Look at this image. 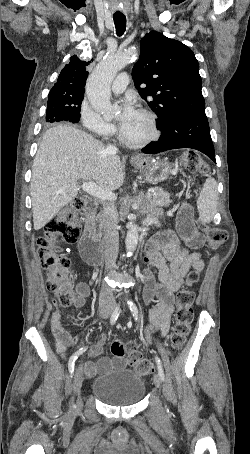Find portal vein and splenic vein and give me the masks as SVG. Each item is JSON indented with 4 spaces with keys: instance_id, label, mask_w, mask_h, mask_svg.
Instances as JSON below:
<instances>
[{
    "instance_id": "1",
    "label": "portal vein and splenic vein",
    "mask_w": 250,
    "mask_h": 454,
    "mask_svg": "<svg viewBox=\"0 0 250 454\" xmlns=\"http://www.w3.org/2000/svg\"><path fill=\"white\" fill-rule=\"evenodd\" d=\"M82 190L86 192L87 194L96 197L100 200H109V201H114L116 200V195L112 192H107L98 187L94 182L89 181V182H84L81 186Z\"/></svg>"
}]
</instances>
